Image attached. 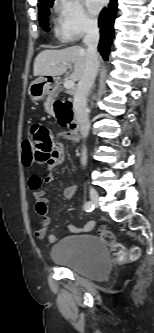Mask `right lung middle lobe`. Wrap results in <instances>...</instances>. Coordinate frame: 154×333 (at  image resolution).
<instances>
[{"label":"right lung middle lobe","instance_id":"1","mask_svg":"<svg viewBox=\"0 0 154 333\" xmlns=\"http://www.w3.org/2000/svg\"><path fill=\"white\" fill-rule=\"evenodd\" d=\"M54 0H42L38 4L39 7V21L40 25L48 31V16H49V8L52 6Z\"/></svg>","mask_w":154,"mask_h":333}]
</instances>
